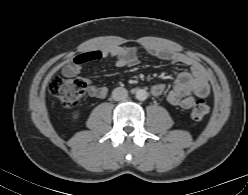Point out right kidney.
Returning <instances> with one entry per match:
<instances>
[{
  "mask_svg": "<svg viewBox=\"0 0 248 195\" xmlns=\"http://www.w3.org/2000/svg\"><path fill=\"white\" fill-rule=\"evenodd\" d=\"M78 117V114H74V119H76Z\"/></svg>",
  "mask_w": 248,
  "mask_h": 195,
  "instance_id": "ca27d5eb",
  "label": "right kidney"
}]
</instances>
